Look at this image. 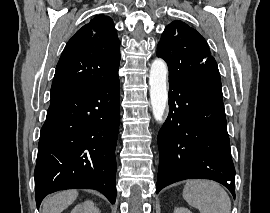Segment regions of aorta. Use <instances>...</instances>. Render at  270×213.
<instances>
[{"label": "aorta", "instance_id": "762f6f07", "mask_svg": "<svg viewBox=\"0 0 270 213\" xmlns=\"http://www.w3.org/2000/svg\"><path fill=\"white\" fill-rule=\"evenodd\" d=\"M167 65L162 59H155L151 65L149 74L150 100L153 116L156 121L162 123L168 102L167 92Z\"/></svg>", "mask_w": 270, "mask_h": 213}]
</instances>
